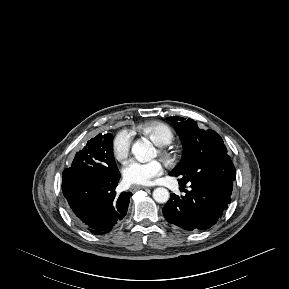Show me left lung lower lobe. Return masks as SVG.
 I'll return each mask as SVG.
<instances>
[{"instance_id": "1", "label": "left lung lower lobe", "mask_w": 289, "mask_h": 289, "mask_svg": "<svg viewBox=\"0 0 289 289\" xmlns=\"http://www.w3.org/2000/svg\"><path fill=\"white\" fill-rule=\"evenodd\" d=\"M190 187L191 191H186L185 196H170L162 210L164 217L184 230L209 229L227 209L232 193L202 183H191Z\"/></svg>"}]
</instances>
